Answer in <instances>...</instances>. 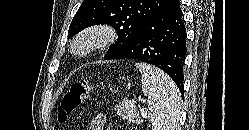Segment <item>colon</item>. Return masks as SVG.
Segmentation results:
<instances>
[{"mask_svg": "<svg viewBox=\"0 0 249 130\" xmlns=\"http://www.w3.org/2000/svg\"><path fill=\"white\" fill-rule=\"evenodd\" d=\"M93 90H95V86L87 81L73 83L63 95L58 106V120L65 122L68 115L74 112Z\"/></svg>", "mask_w": 249, "mask_h": 130, "instance_id": "5ec220e1", "label": "colon"}]
</instances>
